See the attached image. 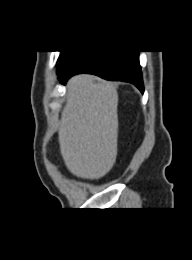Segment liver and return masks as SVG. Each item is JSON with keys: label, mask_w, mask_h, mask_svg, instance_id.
I'll list each match as a JSON object with an SVG mask.
<instances>
[{"label": "liver", "mask_w": 192, "mask_h": 260, "mask_svg": "<svg viewBox=\"0 0 192 260\" xmlns=\"http://www.w3.org/2000/svg\"><path fill=\"white\" fill-rule=\"evenodd\" d=\"M67 88L58 129L61 155L73 175L99 179L111 170L117 155L116 88L88 74L72 77Z\"/></svg>", "instance_id": "obj_1"}]
</instances>
